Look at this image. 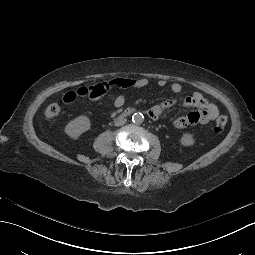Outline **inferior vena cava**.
I'll list each match as a JSON object with an SVG mask.
<instances>
[{"label": "inferior vena cava", "mask_w": 255, "mask_h": 255, "mask_svg": "<svg viewBox=\"0 0 255 255\" xmlns=\"http://www.w3.org/2000/svg\"><path fill=\"white\" fill-rule=\"evenodd\" d=\"M126 121H127L126 118L118 117V118L115 119L114 125L117 126V127L118 126H122V125H124L126 123Z\"/></svg>", "instance_id": "obj_1"}]
</instances>
